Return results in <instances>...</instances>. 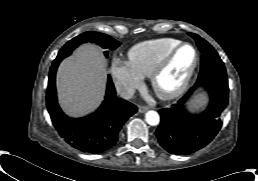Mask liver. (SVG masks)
Listing matches in <instances>:
<instances>
[{
    "label": "liver",
    "mask_w": 258,
    "mask_h": 181,
    "mask_svg": "<svg viewBox=\"0 0 258 181\" xmlns=\"http://www.w3.org/2000/svg\"><path fill=\"white\" fill-rule=\"evenodd\" d=\"M107 78V61L92 44L77 48L62 61L57 71L59 103L70 116H84L102 101Z\"/></svg>",
    "instance_id": "obj_1"
}]
</instances>
